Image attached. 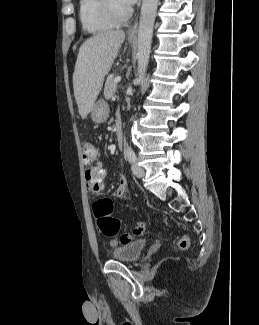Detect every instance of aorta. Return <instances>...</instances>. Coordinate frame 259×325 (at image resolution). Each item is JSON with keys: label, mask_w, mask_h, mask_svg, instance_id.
I'll use <instances>...</instances> for the list:
<instances>
[{"label": "aorta", "mask_w": 259, "mask_h": 325, "mask_svg": "<svg viewBox=\"0 0 259 325\" xmlns=\"http://www.w3.org/2000/svg\"><path fill=\"white\" fill-rule=\"evenodd\" d=\"M159 0H143L138 27V84H142L149 63L153 28Z\"/></svg>", "instance_id": "1"}]
</instances>
